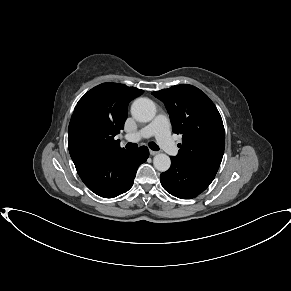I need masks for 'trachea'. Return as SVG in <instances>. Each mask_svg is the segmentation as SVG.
<instances>
[{
  "instance_id": "obj_1",
  "label": "trachea",
  "mask_w": 291,
  "mask_h": 291,
  "mask_svg": "<svg viewBox=\"0 0 291 291\" xmlns=\"http://www.w3.org/2000/svg\"><path fill=\"white\" fill-rule=\"evenodd\" d=\"M148 145H149L150 149H152L153 151L159 150V146L154 142H149ZM137 147H138V145L136 143H127V145H126L127 149H135Z\"/></svg>"
}]
</instances>
